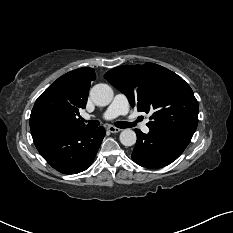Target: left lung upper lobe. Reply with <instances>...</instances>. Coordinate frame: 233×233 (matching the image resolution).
<instances>
[{
  "instance_id": "1",
  "label": "left lung upper lobe",
  "mask_w": 233,
  "mask_h": 233,
  "mask_svg": "<svg viewBox=\"0 0 233 233\" xmlns=\"http://www.w3.org/2000/svg\"><path fill=\"white\" fill-rule=\"evenodd\" d=\"M104 77L138 111L153 113L147 123L149 129L194 134L198 125V102L190 86L174 72L145 63L116 67Z\"/></svg>"
}]
</instances>
